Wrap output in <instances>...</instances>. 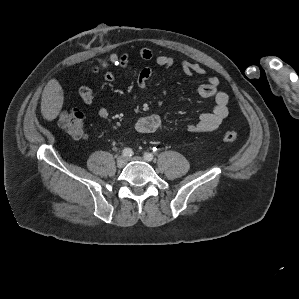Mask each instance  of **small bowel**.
<instances>
[{
	"mask_svg": "<svg viewBox=\"0 0 299 299\" xmlns=\"http://www.w3.org/2000/svg\"><path fill=\"white\" fill-rule=\"evenodd\" d=\"M138 55L141 60L145 62H153L161 67H170L175 65L176 61L173 57L167 55H154L149 48H141L138 51ZM131 57L129 54L124 53L121 55L111 54L109 61H103L98 65L93 66L90 69L91 74H97L105 70L108 65L125 68L128 66ZM181 70L190 76H197L205 74V69L199 64L183 60L179 63ZM152 75V68H143L137 79L138 87L146 92L148 90V80ZM104 78L108 82H113L116 79V75L107 70L104 73ZM197 93L203 98H213L215 106L212 111L206 112L200 115L197 122L188 126V131L192 133L210 132L219 127L223 120L228 116V95L219 90V79L216 76L208 78V82L201 84L197 88ZM79 96L85 104H92L94 101V95L92 89L83 85L79 88ZM135 129L139 133L149 134L156 133L162 129V121L158 115H148L139 118L135 123Z\"/></svg>",
	"mask_w": 299,
	"mask_h": 299,
	"instance_id": "small-bowel-1",
	"label": "small bowel"
}]
</instances>
